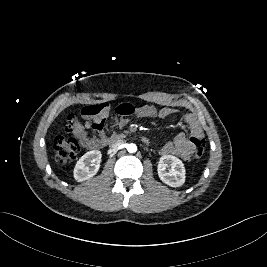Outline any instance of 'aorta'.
I'll use <instances>...</instances> for the list:
<instances>
[{
  "mask_svg": "<svg viewBox=\"0 0 267 267\" xmlns=\"http://www.w3.org/2000/svg\"><path fill=\"white\" fill-rule=\"evenodd\" d=\"M127 150L129 153H135L137 151V146L134 143H130L127 145Z\"/></svg>",
  "mask_w": 267,
  "mask_h": 267,
  "instance_id": "obj_1",
  "label": "aorta"
}]
</instances>
